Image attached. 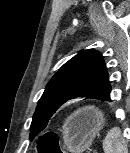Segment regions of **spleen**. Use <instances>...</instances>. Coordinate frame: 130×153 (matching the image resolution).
Returning <instances> with one entry per match:
<instances>
[{"label":"spleen","mask_w":130,"mask_h":153,"mask_svg":"<svg viewBox=\"0 0 130 153\" xmlns=\"http://www.w3.org/2000/svg\"><path fill=\"white\" fill-rule=\"evenodd\" d=\"M103 149L105 153H127V147L118 127H113L108 131L103 141Z\"/></svg>","instance_id":"3e777b00"}]
</instances>
